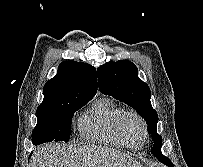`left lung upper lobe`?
<instances>
[{
  "mask_svg": "<svg viewBox=\"0 0 203 167\" xmlns=\"http://www.w3.org/2000/svg\"><path fill=\"white\" fill-rule=\"evenodd\" d=\"M97 73L101 93L129 105L146 121L148 133L155 141L151 152L160 160L157 153L162 146V139L156 130L158 115L151 105L149 86L138 77L135 64L126 60L108 62L101 65ZM163 159L168 160L167 157Z\"/></svg>",
  "mask_w": 203,
  "mask_h": 167,
  "instance_id": "left-lung-upper-lobe-1",
  "label": "left lung upper lobe"
}]
</instances>
